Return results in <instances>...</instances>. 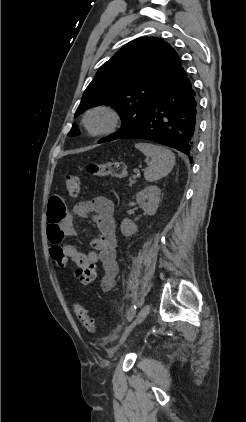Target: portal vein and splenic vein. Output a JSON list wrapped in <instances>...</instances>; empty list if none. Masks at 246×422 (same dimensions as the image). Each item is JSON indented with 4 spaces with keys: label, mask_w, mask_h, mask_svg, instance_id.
<instances>
[{
    "label": "portal vein and splenic vein",
    "mask_w": 246,
    "mask_h": 422,
    "mask_svg": "<svg viewBox=\"0 0 246 422\" xmlns=\"http://www.w3.org/2000/svg\"><path fill=\"white\" fill-rule=\"evenodd\" d=\"M139 176V174H137V175H134V178H136V177H138Z\"/></svg>",
    "instance_id": "18ae733b"
}]
</instances>
